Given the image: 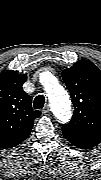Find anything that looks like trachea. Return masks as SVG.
Returning a JSON list of instances; mask_svg holds the SVG:
<instances>
[{"label":"trachea","mask_w":101,"mask_h":180,"mask_svg":"<svg viewBox=\"0 0 101 180\" xmlns=\"http://www.w3.org/2000/svg\"><path fill=\"white\" fill-rule=\"evenodd\" d=\"M45 97L43 95H38L34 100V108L41 109L44 107Z\"/></svg>","instance_id":"obj_1"}]
</instances>
